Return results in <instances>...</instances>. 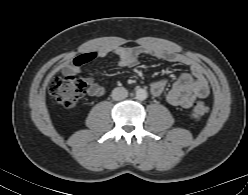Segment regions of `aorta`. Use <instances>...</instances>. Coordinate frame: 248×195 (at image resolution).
Instances as JSON below:
<instances>
[{"label": "aorta", "instance_id": "762f6f07", "mask_svg": "<svg viewBox=\"0 0 248 195\" xmlns=\"http://www.w3.org/2000/svg\"><path fill=\"white\" fill-rule=\"evenodd\" d=\"M147 98V92L145 89L139 88L136 90V99L145 100Z\"/></svg>", "mask_w": 248, "mask_h": 195}]
</instances>
